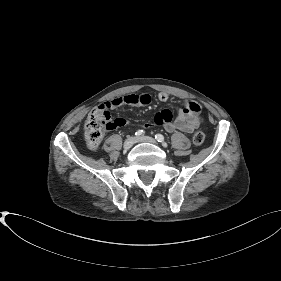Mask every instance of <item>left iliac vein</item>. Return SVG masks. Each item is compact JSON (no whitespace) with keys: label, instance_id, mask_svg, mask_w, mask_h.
<instances>
[{"label":"left iliac vein","instance_id":"obj_1","mask_svg":"<svg viewBox=\"0 0 281 281\" xmlns=\"http://www.w3.org/2000/svg\"><path fill=\"white\" fill-rule=\"evenodd\" d=\"M137 142H148V143H153V144H156V140L152 137H149V136H141V137H138L136 139Z\"/></svg>","mask_w":281,"mask_h":281}]
</instances>
